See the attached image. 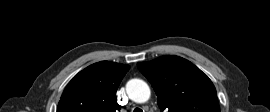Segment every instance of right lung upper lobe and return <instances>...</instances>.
Returning a JSON list of instances; mask_svg holds the SVG:
<instances>
[{"label": "right lung upper lobe", "instance_id": "right-lung-upper-lobe-1", "mask_svg": "<svg viewBox=\"0 0 270 112\" xmlns=\"http://www.w3.org/2000/svg\"><path fill=\"white\" fill-rule=\"evenodd\" d=\"M129 68L109 61L88 66L69 82L57 112H116V91Z\"/></svg>", "mask_w": 270, "mask_h": 112}]
</instances>
